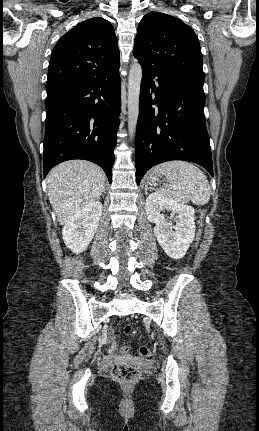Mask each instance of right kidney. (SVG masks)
Listing matches in <instances>:
<instances>
[{"label": "right kidney", "mask_w": 259, "mask_h": 431, "mask_svg": "<svg viewBox=\"0 0 259 431\" xmlns=\"http://www.w3.org/2000/svg\"><path fill=\"white\" fill-rule=\"evenodd\" d=\"M102 215V204L93 202L76 212L65 224L62 235L74 253L83 252L92 241Z\"/></svg>", "instance_id": "1"}]
</instances>
